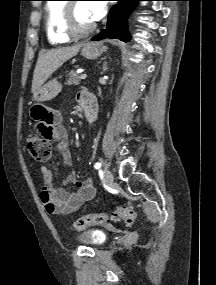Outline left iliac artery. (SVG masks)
I'll use <instances>...</instances> for the list:
<instances>
[{"label": "left iliac artery", "instance_id": "left-iliac-artery-1", "mask_svg": "<svg viewBox=\"0 0 216 285\" xmlns=\"http://www.w3.org/2000/svg\"><path fill=\"white\" fill-rule=\"evenodd\" d=\"M94 167H95V169H100L101 168V163L97 162Z\"/></svg>", "mask_w": 216, "mask_h": 285}]
</instances>
